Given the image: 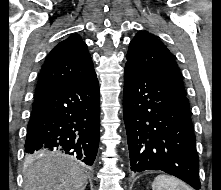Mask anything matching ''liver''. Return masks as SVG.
I'll return each instance as SVG.
<instances>
[{
  "label": "liver",
  "instance_id": "6515ba94",
  "mask_svg": "<svg viewBox=\"0 0 221 190\" xmlns=\"http://www.w3.org/2000/svg\"><path fill=\"white\" fill-rule=\"evenodd\" d=\"M25 160L24 190H80L87 185L84 170L68 157L48 156Z\"/></svg>",
  "mask_w": 221,
  "mask_h": 190
}]
</instances>
